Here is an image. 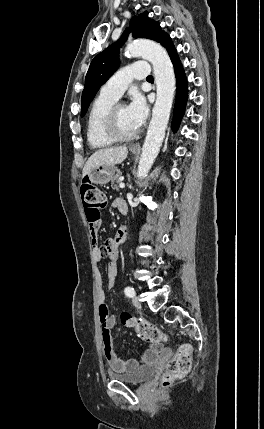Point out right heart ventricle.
Listing matches in <instances>:
<instances>
[{
	"instance_id": "obj_1",
	"label": "right heart ventricle",
	"mask_w": 264,
	"mask_h": 429,
	"mask_svg": "<svg viewBox=\"0 0 264 429\" xmlns=\"http://www.w3.org/2000/svg\"><path fill=\"white\" fill-rule=\"evenodd\" d=\"M117 99L100 94L92 103L86 126L87 141L93 149L107 148L115 143L104 132V121Z\"/></svg>"
}]
</instances>
